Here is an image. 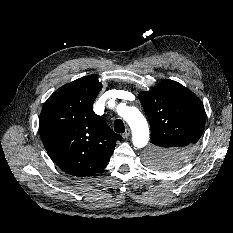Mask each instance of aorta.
I'll return each mask as SVG.
<instances>
[{
	"mask_svg": "<svg viewBox=\"0 0 233 233\" xmlns=\"http://www.w3.org/2000/svg\"><path fill=\"white\" fill-rule=\"evenodd\" d=\"M119 114L132 130V141L135 147L143 148L149 139V128L141 112L134 107H120Z\"/></svg>",
	"mask_w": 233,
	"mask_h": 233,
	"instance_id": "aorta-1",
	"label": "aorta"
}]
</instances>
